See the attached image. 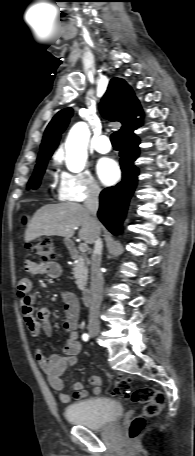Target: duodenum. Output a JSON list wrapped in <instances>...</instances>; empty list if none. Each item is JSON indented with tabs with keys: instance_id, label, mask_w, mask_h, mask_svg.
Masks as SVG:
<instances>
[{
	"instance_id": "duodenum-1",
	"label": "duodenum",
	"mask_w": 195,
	"mask_h": 456,
	"mask_svg": "<svg viewBox=\"0 0 195 456\" xmlns=\"http://www.w3.org/2000/svg\"><path fill=\"white\" fill-rule=\"evenodd\" d=\"M66 247L72 255H76V248L72 241L66 242ZM82 301L85 305H89L91 302V291L89 289H84L82 291Z\"/></svg>"
}]
</instances>
